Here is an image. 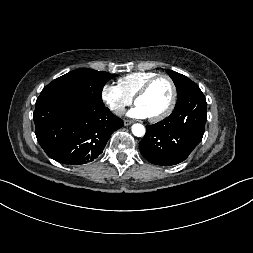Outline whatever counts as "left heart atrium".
Wrapping results in <instances>:
<instances>
[{
    "label": "left heart atrium",
    "instance_id": "obj_1",
    "mask_svg": "<svg viewBox=\"0 0 253 253\" xmlns=\"http://www.w3.org/2000/svg\"><path fill=\"white\" fill-rule=\"evenodd\" d=\"M127 116L132 117V118H147L148 117L146 112L139 105H136L134 108L129 110L127 113Z\"/></svg>",
    "mask_w": 253,
    "mask_h": 253
}]
</instances>
